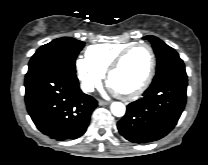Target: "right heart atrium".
I'll use <instances>...</instances> for the list:
<instances>
[{
    "instance_id": "d8ad5b80",
    "label": "right heart atrium",
    "mask_w": 208,
    "mask_h": 165,
    "mask_svg": "<svg viewBox=\"0 0 208 165\" xmlns=\"http://www.w3.org/2000/svg\"><path fill=\"white\" fill-rule=\"evenodd\" d=\"M75 69L80 86L85 92L93 91L103 79V73L93 66L86 57L76 58Z\"/></svg>"
}]
</instances>
